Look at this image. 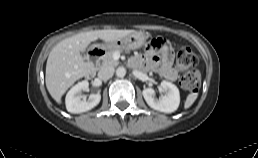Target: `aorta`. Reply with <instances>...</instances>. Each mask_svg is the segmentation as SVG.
Segmentation results:
<instances>
[{"label":"aorta","instance_id":"762f6f07","mask_svg":"<svg viewBox=\"0 0 258 158\" xmlns=\"http://www.w3.org/2000/svg\"><path fill=\"white\" fill-rule=\"evenodd\" d=\"M116 75L118 77H124L126 75V69L124 67H118L116 70Z\"/></svg>","mask_w":258,"mask_h":158}]
</instances>
